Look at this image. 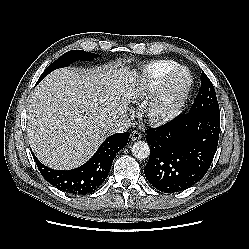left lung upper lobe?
I'll list each match as a JSON object with an SVG mask.
<instances>
[{
    "instance_id": "left-lung-upper-lobe-1",
    "label": "left lung upper lobe",
    "mask_w": 249,
    "mask_h": 249,
    "mask_svg": "<svg viewBox=\"0 0 249 249\" xmlns=\"http://www.w3.org/2000/svg\"><path fill=\"white\" fill-rule=\"evenodd\" d=\"M189 113L219 115V105L213 84L207 75L201 74V88Z\"/></svg>"
}]
</instances>
